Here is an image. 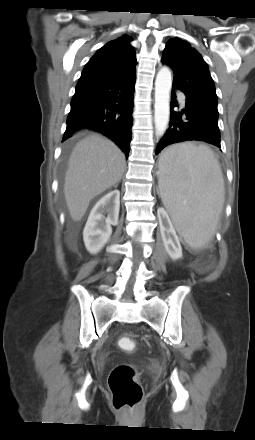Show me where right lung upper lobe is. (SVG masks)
Segmentation results:
<instances>
[{
    "mask_svg": "<svg viewBox=\"0 0 255 440\" xmlns=\"http://www.w3.org/2000/svg\"><path fill=\"white\" fill-rule=\"evenodd\" d=\"M131 40L124 35L100 48L84 67L76 89L104 83L135 69L136 56L129 44Z\"/></svg>",
    "mask_w": 255,
    "mask_h": 440,
    "instance_id": "right-lung-upper-lobe-1",
    "label": "right lung upper lobe"
}]
</instances>
